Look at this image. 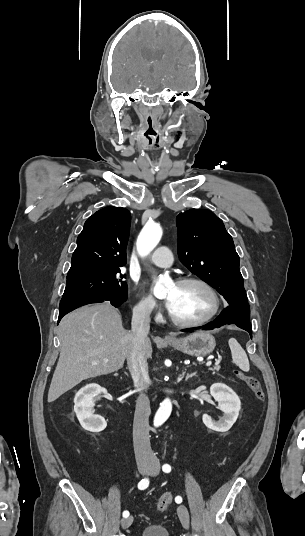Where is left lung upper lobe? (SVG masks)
Wrapping results in <instances>:
<instances>
[{"mask_svg": "<svg viewBox=\"0 0 305 536\" xmlns=\"http://www.w3.org/2000/svg\"><path fill=\"white\" fill-rule=\"evenodd\" d=\"M176 222L183 265L222 294L229 306L247 303L240 259L222 220L209 210L191 209Z\"/></svg>", "mask_w": 305, "mask_h": 536, "instance_id": "left-lung-upper-lobe-1", "label": "left lung upper lobe"}]
</instances>
